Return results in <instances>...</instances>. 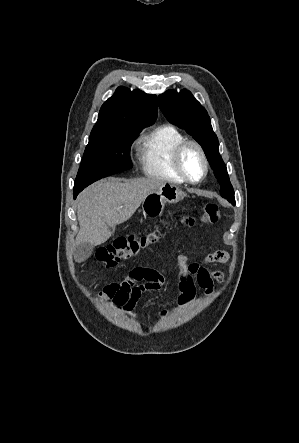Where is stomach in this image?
Returning a JSON list of instances; mask_svg holds the SVG:
<instances>
[{"instance_id":"stomach-1","label":"stomach","mask_w":299,"mask_h":443,"mask_svg":"<svg viewBox=\"0 0 299 443\" xmlns=\"http://www.w3.org/2000/svg\"><path fill=\"white\" fill-rule=\"evenodd\" d=\"M184 196V192L177 186L165 183L146 196L142 202V211L144 215L151 218L158 217L162 214L166 203H177Z\"/></svg>"}]
</instances>
